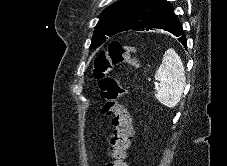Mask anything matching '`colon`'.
Returning a JSON list of instances; mask_svg holds the SVG:
<instances>
[{
  "mask_svg": "<svg viewBox=\"0 0 227 166\" xmlns=\"http://www.w3.org/2000/svg\"><path fill=\"white\" fill-rule=\"evenodd\" d=\"M122 63L138 67L140 59L119 41H112L108 48L101 51L94 60L93 74L99 82L104 101L101 112L112 118L113 125V132L109 139L110 160L106 166H126L127 150L133 135L131 115L120 103L126 84L117 76L109 74L114 65Z\"/></svg>",
  "mask_w": 227,
  "mask_h": 166,
  "instance_id": "colon-1",
  "label": "colon"
}]
</instances>
